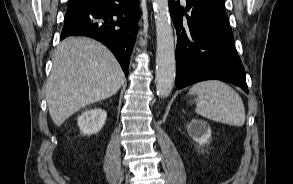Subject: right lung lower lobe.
I'll return each instance as SVG.
<instances>
[{
    "label": "right lung lower lobe",
    "mask_w": 293,
    "mask_h": 184,
    "mask_svg": "<svg viewBox=\"0 0 293 184\" xmlns=\"http://www.w3.org/2000/svg\"><path fill=\"white\" fill-rule=\"evenodd\" d=\"M139 0H87L68 8L61 39L85 35L106 45L127 76L138 30Z\"/></svg>",
    "instance_id": "98d812e1"
}]
</instances>
